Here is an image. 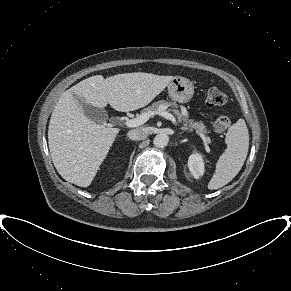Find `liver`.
I'll use <instances>...</instances> for the list:
<instances>
[{
  "label": "liver",
  "instance_id": "6515ba94",
  "mask_svg": "<svg viewBox=\"0 0 291 291\" xmlns=\"http://www.w3.org/2000/svg\"><path fill=\"white\" fill-rule=\"evenodd\" d=\"M172 79L143 72L106 79L96 75L66 90L54 107L48 128L49 150L58 173L77 186H89L120 131L87 118L77 98L97 108L109 104L129 112L148 105Z\"/></svg>",
  "mask_w": 291,
  "mask_h": 291
}]
</instances>
